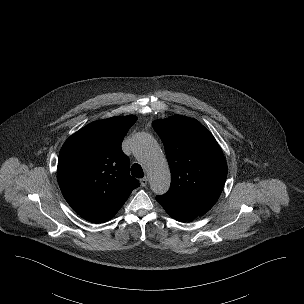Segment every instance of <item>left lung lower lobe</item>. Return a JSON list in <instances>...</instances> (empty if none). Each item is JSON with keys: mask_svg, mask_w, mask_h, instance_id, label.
<instances>
[{"mask_svg": "<svg viewBox=\"0 0 304 304\" xmlns=\"http://www.w3.org/2000/svg\"><path fill=\"white\" fill-rule=\"evenodd\" d=\"M156 200L165 209V211L176 220L189 221L197 217V215L189 213L176 205L164 201L161 198L156 197Z\"/></svg>", "mask_w": 304, "mask_h": 304, "instance_id": "obj_1", "label": "left lung lower lobe"}]
</instances>
